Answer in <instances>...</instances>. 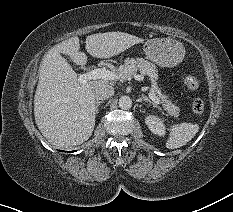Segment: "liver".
<instances>
[{
    "mask_svg": "<svg viewBox=\"0 0 233 212\" xmlns=\"http://www.w3.org/2000/svg\"><path fill=\"white\" fill-rule=\"evenodd\" d=\"M141 42L143 39L128 33L106 32L89 35L85 47L92 57L110 58ZM61 54L68 55L77 65L87 63L77 36L52 47L39 67L34 116L41 134L50 143L69 147L82 144L92 135L96 117L93 87L110 82L101 79L79 83L76 72Z\"/></svg>",
    "mask_w": 233,
    "mask_h": 212,
    "instance_id": "obj_1",
    "label": "liver"
}]
</instances>
